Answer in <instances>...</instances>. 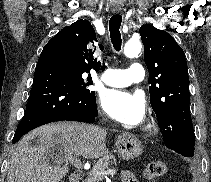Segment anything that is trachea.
I'll return each mask as SVG.
<instances>
[{
  "instance_id": "trachea-1",
  "label": "trachea",
  "mask_w": 211,
  "mask_h": 182,
  "mask_svg": "<svg viewBox=\"0 0 211 182\" xmlns=\"http://www.w3.org/2000/svg\"><path fill=\"white\" fill-rule=\"evenodd\" d=\"M121 22H122V17L119 14L112 15L109 21L110 38L113 47L116 51H120L122 44L121 33H120Z\"/></svg>"
}]
</instances>
